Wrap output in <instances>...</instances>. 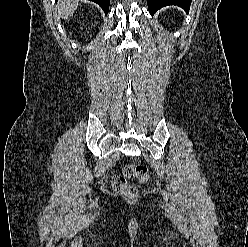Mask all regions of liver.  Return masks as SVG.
I'll use <instances>...</instances> for the list:
<instances>
[{"label":"liver","mask_w":248,"mask_h":247,"mask_svg":"<svg viewBox=\"0 0 248 247\" xmlns=\"http://www.w3.org/2000/svg\"><path fill=\"white\" fill-rule=\"evenodd\" d=\"M79 0H60L58 2V9L60 15L64 19H68L78 7Z\"/></svg>","instance_id":"1"}]
</instances>
